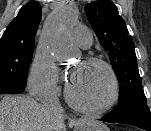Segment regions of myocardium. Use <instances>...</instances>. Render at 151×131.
Masks as SVG:
<instances>
[{
	"label": "myocardium",
	"instance_id": "f54148a6",
	"mask_svg": "<svg viewBox=\"0 0 151 131\" xmlns=\"http://www.w3.org/2000/svg\"><path fill=\"white\" fill-rule=\"evenodd\" d=\"M83 65H98L101 66L106 70L109 75L110 82H111V91L108 99L98 105V106H90L84 104L77 100L71 93L70 87L67 84L65 87V97L68 103L76 110L92 115H100L108 112L110 109L114 107L117 103L119 96H120V85L118 77L113 69V67L105 60L98 58V57H88L82 61Z\"/></svg>",
	"mask_w": 151,
	"mask_h": 131
}]
</instances>
